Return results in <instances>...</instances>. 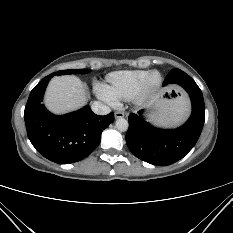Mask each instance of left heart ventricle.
<instances>
[{"instance_id": "obj_1", "label": "left heart ventricle", "mask_w": 233, "mask_h": 233, "mask_svg": "<svg viewBox=\"0 0 233 233\" xmlns=\"http://www.w3.org/2000/svg\"><path fill=\"white\" fill-rule=\"evenodd\" d=\"M157 79H158L157 75H153L151 78V83H155Z\"/></svg>"}]
</instances>
